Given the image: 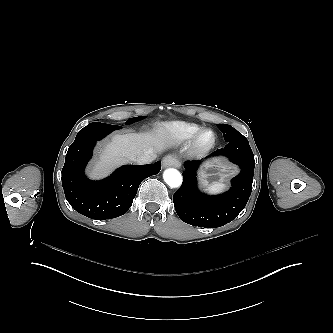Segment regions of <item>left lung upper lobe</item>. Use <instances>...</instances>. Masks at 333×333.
<instances>
[{"mask_svg":"<svg viewBox=\"0 0 333 333\" xmlns=\"http://www.w3.org/2000/svg\"><path fill=\"white\" fill-rule=\"evenodd\" d=\"M217 126L223 133L225 141H229L231 138H234V137L240 135V133L236 129L231 127L230 125L218 124Z\"/></svg>","mask_w":333,"mask_h":333,"instance_id":"obj_1","label":"left lung upper lobe"}]
</instances>
